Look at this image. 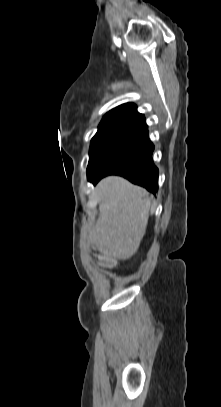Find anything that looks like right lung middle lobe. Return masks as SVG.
I'll list each match as a JSON object with an SVG mask.
<instances>
[{"label": "right lung middle lobe", "mask_w": 221, "mask_h": 407, "mask_svg": "<svg viewBox=\"0 0 221 407\" xmlns=\"http://www.w3.org/2000/svg\"><path fill=\"white\" fill-rule=\"evenodd\" d=\"M138 130L139 128L135 127H117L98 131L91 140L88 179L98 173L123 143Z\"/></svg>", "instance_id": "1"}]
</instances>
